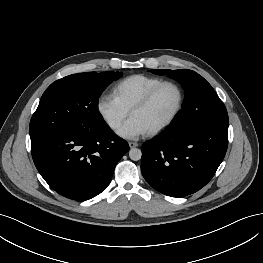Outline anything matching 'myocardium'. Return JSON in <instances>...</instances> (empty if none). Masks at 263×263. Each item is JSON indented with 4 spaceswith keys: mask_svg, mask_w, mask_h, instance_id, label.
Listing matches in <instances>:
<instances>
[{
    "mask_svg": "<svg viewBox=\"0 0 263 263\" xmlns=\"http://www.w3.org/2000/svg\"><path fill=\"white\" fill-rule=\"evenodd\" d=\"M165 85H171L178 91V95H179L178 103H177L175 110L171 114V116L167 120H165L163 123L159 124L152 130L148 131L147 134L149 135H156L162 132L163 130L167 129L170 125H172L174 121L177 119V117L179 116V114L181 113L183 109L184 102H185V92H184L183 87L174 80H162L161 82L153 86L150 90H148L144 94V96L140 100H138L129 110L130 115H132V113L135 112L136 110L144 108L152 100V98L158 92V90Z\"/></svg>",
    "mask_w": 263,
    "mask_h": 263,
    "instance_id": "myocardium-1",
    "label": "myocardium"
}]
</instances>
